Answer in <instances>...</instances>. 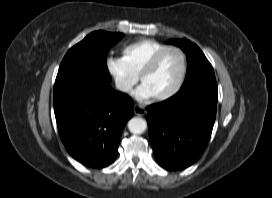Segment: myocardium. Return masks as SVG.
I'll return each mask as SVG.
<instances>
[{
  "label": "myocardium",
  "mask_w": 272,
  "mask_h": 198,
  "mask_svg": "<svg viewBox=\"0 0 272 198\" xmlns=\"http://www.w3.org/2000/svg\"><path fill=\"white\" fill-rule=\"evenodd\" d=\"M170 51H176L180 54L181 59H182V71L179 77L178 82L174 86L172 90H170L168 93L153 97L155 101L161 102V101H166L171 98H173L175 95L179 93V91L182 89L186 76H187V70H188V62H187V55L186 53L179 47L176 46H167L161 50H159L157 53L153 55V57L149 60V62L144 66L142 71L139 74V81L142 83V80L145 76L150 74L159 64L163 56L170 52Z\"/></svg>",
  "instance_id": "f54148a6"
}]
</instances>
